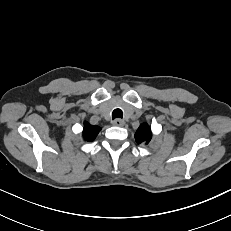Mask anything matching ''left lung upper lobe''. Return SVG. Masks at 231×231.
Masks as SVG:
<instances>
[{"instance_id": "obj_1", "label": "left lung upper lobe", "mask_w": 231, "mask_h": 231, "mask_svg": "<svg viewBox=\"0 0 231 231\" xmlns=\"http://www.w3.org/2000/svg\"><path fill=\"white\" fill-rule=\"evenodd\" d=\"M151 129L148 124L144 123L139 126L135 133V140L138 144L149 142L151 140Z\"/></svg>"}]
</instances>
